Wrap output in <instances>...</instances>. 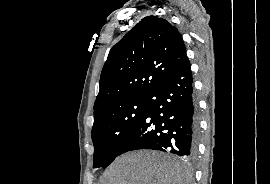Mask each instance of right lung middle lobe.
Masks as SVG:
<instances>
[{
  "instance_id": "1",
  "label": "right lung middle lobe",
  "mask_w": 270,
  "mask_h": 184,
  "mask_svg": "<svg viewBox=\"0 0 270 184\" xmlns=\"http://www.w3.org/2000/svg\"><path fill=\"white\" fill-rule=\"evenodd\" d=\"M147 102V96L130 99L94 121L92 128L95 148L94 168H106L119 156L121 147L145 116Z\"/></svg>"
}]
</instances>
